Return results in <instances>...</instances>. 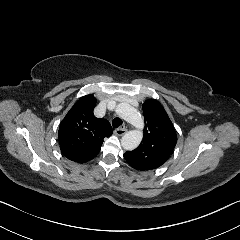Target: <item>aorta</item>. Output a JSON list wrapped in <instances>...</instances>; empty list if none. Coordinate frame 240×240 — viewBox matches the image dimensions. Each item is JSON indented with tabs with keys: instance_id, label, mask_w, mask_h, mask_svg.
Masks as SVG:
<instances>
[{
	"instance_id": "762f6f07",
	"label": "aorta",
	"mask_w": 240,
	"mask_h": 240,
	"mask_svg": "<svg viewBox=\"0 0 240 240\" xmlns=\"http://www.w3.org/2000/svg\"><path fill=\"white\" fill-rule=\"evenodd\" d=\"M116 113L119 117L136 128V130H131L125 133L121 138V146L123 149L132 151L139 146L143 138V119L136 108L126 103L119 104L116 108Z\"/></svg>"
}]
</instances>
